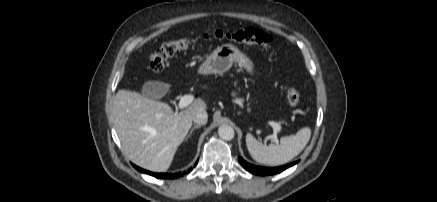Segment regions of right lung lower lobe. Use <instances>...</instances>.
Listing matches in <instances>:
<instances>
[{"mask_svg": "<svg viewBox=\"0 0 437 202\" xmlns=\"http://www.w3.org/2000/svg\"><path fill=\"white\" fill-rule=\"evenodd\" d=\"M198 162V161H197ZM197 164V163H196ZM195 164V165H196ZM134 166V168L135 169H137L138 171H140V172H142V173H146V174H149V175H151V176H154V177H156V178H162V179H174V178H178V177H180V176H182L183 174L182 173H176V174H164V173H152V172H149V171H147V170H144V169H142V168H139V167H137V166H135V165H133ZM190 170H192V168L190 169ZM189 172V171H188Z\"/></svg>", "mask_w": 437, "mask_h": 202, "instance_id": "obj_1", "label": "right lung lower lobe"}]
</instances>
